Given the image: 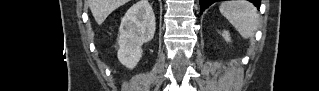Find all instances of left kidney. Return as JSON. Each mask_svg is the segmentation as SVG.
I'll list each match as a JSON object with an SVG mask.
<instances>
[{
    "label": "left kidney",
    "mask_w": 319,
    "mask_h": 91,
    "mask_svg": "<svg viewBox=\"0 0 319 91\" xmlns=\"http://www.w3.org/2000/svg\"><path fill=\"white\" fill-rule=\"evenodd\" d=\"M222 36L224 37V39L229 42L230 41V35L227 31H223Z\"/></svg>",
    "instance_id": "5707ae66"
}]
</instances>
